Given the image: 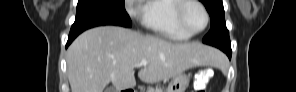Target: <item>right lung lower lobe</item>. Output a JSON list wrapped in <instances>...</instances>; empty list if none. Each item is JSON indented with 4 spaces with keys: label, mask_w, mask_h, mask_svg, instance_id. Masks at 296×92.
Listing matches in <instances>:
<instances>
[{
    "label": "right lung lower lobe",
    "mask_w": 296,
    "mask_h": 92,
    "mask_svg": "<svg viewBox=\"0 0 296 92\" xmlns=\"http://www.w3.org/2000/svg\"><path fill=\"white\" fill-rule=\"evenodd\" d=\"M94 27V26H93ZM91 28V27H89ZM88 28H80V27H73L71 28L69 37H68V42L66 44V47H68V45L84 30H86Z\"/></svg>",
    "instance_id": "1"
}]
</instances>
